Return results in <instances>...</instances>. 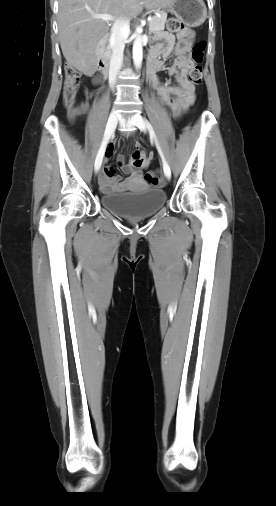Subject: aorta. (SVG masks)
<instances>
[{
	"label": "aorta",
	"instance_id": "1",
	"mask_svg": "<svg viewBox=\"0 0 276 506\" xmlns=\"http://www.w3.org/2000/svg\"><path fill=\"white\" fill-rule=\"evenodd\" d=\"M141 28H137L134 34V43H133V62L136 70H139L142 65L143 60V43L141 38Z\"/></svg>",
	"mask_w": 276,
	"mask_h": 506
}]
</instances>
